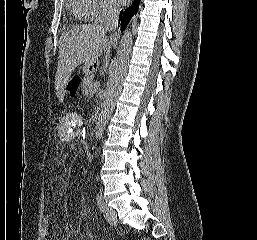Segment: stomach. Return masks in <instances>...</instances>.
<instances>
[{
	"label": "stomach",
	"mask_w": 257,
	"mask_h": 240,
	"mask_svg": "<svg viewBox=\"0 0 257 240\" xmlns=\"http://www.w3.org/2000/svg\"><path fill=\"white\" fill-rule=\"evenodd\" d=\"M89 69H90V66H85V67H84V71H85V72H90Z\"/></svg>",
	"instance_id": "obj_1"
}]
</instances>
